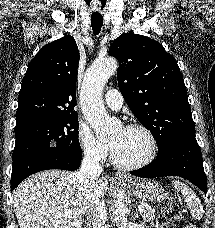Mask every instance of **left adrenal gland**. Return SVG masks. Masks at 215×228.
<instances>
[{
    "mask_svg": "<svg viewBox=\"0 0 215 228\" xmlns=\"http://www.w3.org/2000/svg\"><path fill=\"white\" fill-rule=\"evenodd\" d=\"M137 218H138V216H137ZM140 224H143V222H140Z\"/></svg>",
    "mask_w": 215,
    "mask_h": 228,
    "instance_id": "obj_1",
    "label": "left adrenal gland"
}]
</instances>
